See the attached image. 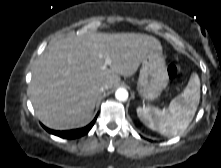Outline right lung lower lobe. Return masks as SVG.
Listing matches in <instances>:
<instances>
[{
	"mask_svg": "<svg viewBox=\"0 0 221 168\" xmlns=\"http://www.w3.org/2000/svg\"><path fill=\"white\" fill-rule=\"evenodd\" d=\"M97 116L95 119L86 127L80 128V129H75V130H67V131H54L48 128H45L49 133L54 134L56 136H59L61 138H66V139H75L81 136L86 135L89 130L92 128L96 121Z\"/></svg>",
	"mask_w": 221,
	"mask_h": 168,
	"instance_id": "1",
	"label": "right lung lower lobe"
}]
</instances>
